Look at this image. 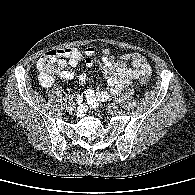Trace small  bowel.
<instances>
[{
	"instance_id": "c3829d8e",
	"label": "small bowel",
	"mask_w": 195,
	"mask_h": 195,
	"mask_svg": "<svg viewBox=\"0 0 195 195\" xmlns=\"http://www.w3.org/2000/svg\"><path fill=\"white\" fill-rule=\"evenodd\" d=\"M58 52L68 59L71 67H76L83 58L89 67L99 63L109 86L108 90L100 92L87 90L83 95H78V100L86 102V105L79 109V116H83L87 111L99 107L110 96L119 94L123 88L130 85L134 80L143 76H150L152 73L151 65L147 59L135 52L123 54L119 58H116L108 49L99 52L93 47L84 50L68 48ZM98 55H100V59H98ZM129 64L131 67H129ZM61 76L64 79H73L75 74L73 71L65 70ZM77 79L80 84H84L87 75L80 73Z\"/></svg>"
}]
</instances>
